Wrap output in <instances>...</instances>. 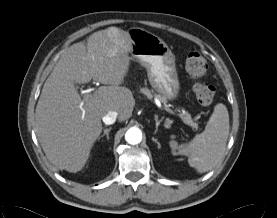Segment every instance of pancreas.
Segmentation results:
<instances>
[{
  "label": "pancreas",
  "mask_w": 277,
  "mask_h": 218,
  "mask_svg": "<svg viewBox=\"0 0 277 218\" xmlns=\"http://www.w3.org/2000/svg\"><path fill=\"white\" fill-rule=\"evenodd\" d=\"M140 92L143 93L144 95H146L148 98H152L153 94L151 93V91L148 88H141ZM155 97L159 98L161 101H165L161 96L154 94ZM181 118L183 120V122L189 126H191L194 129L198 128V124L195 123L191 116L188 113H185L184 115H181Z\"/></svg>",
  "instance_id": "1"
}]
</instances>
